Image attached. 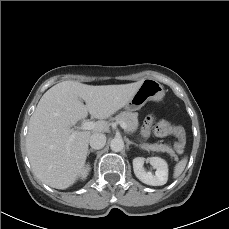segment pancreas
Listing matches in <instances>:
<instances>
[{"mask_svg":"<svg viewBox=\"0 0 229 229\" xmlns=\"http://www.w3.org/2000/svg\"><path fill=\"white\" fill-rule=\"evenodd\" d=\"M117 123L124 122L127 125L126 132L133 133L138 128V114L132 113V112H121L118 114L115 118H113ZM140 147L145 150H151V151H157V152H166L171 157L177 158V155L175 154L174 150L166 145V144H148V143H142L140 144Z\"/></svg>","mask_w":229,"mask_h":229,"instance_id":"obj_1","label":"pancreas"}]
</instances>
